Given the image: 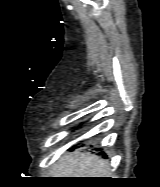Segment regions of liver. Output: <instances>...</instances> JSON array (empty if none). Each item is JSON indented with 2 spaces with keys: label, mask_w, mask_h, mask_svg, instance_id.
<instances>
[{
  "label": "liver",
  "mask_w": 160,
  "mask_h": 187,
  "mask_svg": "<svg viewBox=\"0 0 160 187\" xmlns=\"http://www.w3.org/2000/svg\"><path fill=\"white\" fill-rule=\"evenodd\" d=\"M53 178H109L110 167L106 160L88 153H67L51 170Z\"/></svg>",
  "instance_id": "liver-1"
}]
</instances>
